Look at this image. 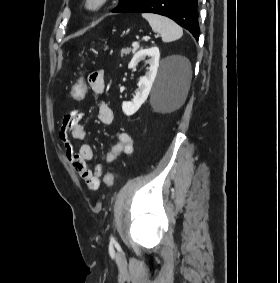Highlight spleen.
Masks as SVG:
<instances>
[{
    "instance_id": "1",
    "label": "spleen",
    "mask_w": 280,
    "mask_h": 283,
    "mask_svg": "<svg viewBox=\"0 0 280 283\" xmlns=\"http://www.w3.org/2000/svg\"><path fill=\"white\" fill-rule=\"evenodd\" d=\"M142 17L149 22L154 32L161 35L163 42L175 41L183 35L182 28L167 17L152 13H143Z\"/></svg>"
}]
</instances>
